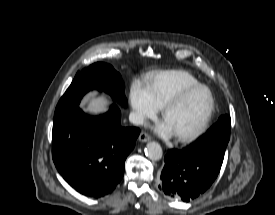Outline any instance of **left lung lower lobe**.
Wrapping results in <instances>:
<instances>
[{
  "label": "left lung lower lobe",
  "mask_w": 275,
  "mask_h": 215,
  "mask_svg": "<svg viewBox=\"0 0 275 215\" xmlns=\"http://www.w3.org/2000/svg\"><path fill=\"white\" fill-rule=\"evenodd\" d=\"M164 161L159 189L184 202L203 194L218 176L222 165L209 157L192 153L188 147L169 150Z\"/></svg>",
  "instance_id": "left-lung-lower-lobe-1"
}]
</instances>
